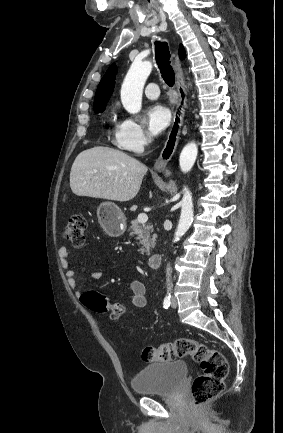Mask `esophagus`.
<instances>
[{"mask_svg": "<svg viewBox=\"0 0 283 433\" xmlns=\"http://www.w3.org/2000/svg\"><path fill=\"white\" fill-rule=\"evenodd\" d=\"M174 66L176 72V86L179 93V102L173 115L172 125L169 130L167 140L165 142L163 150L159 155V158L154 165L155 170L159 172H165L166 174L170 173L167 169V163L172 158L176 150L187 106V94L185 89L183 70L177 53L174 54Z\"/></svg>", "mask_w": 283, "mask_h": 433, "instance_id": "34e87169", "label": "esophagus"}]
</instances>
